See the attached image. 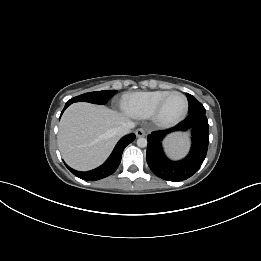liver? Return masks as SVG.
Listing matches in <instances>:
<instances>
[{"label":"liver","instance_id":"liver-1","mask_svg":"<svg viewBox=\"0 0 261 261\" xmlns=\"http://www.w3.org/2000/svg\"><path fill=\"white\" fill-rule=\"evenodd\" d=\"M128 119L105 106L75 103L64 112L58 132V145L65 162L87 171L101 165L119 137L115 128Z\"/></svg>","mask_w":261,"mask_h":261}]
</instances>
